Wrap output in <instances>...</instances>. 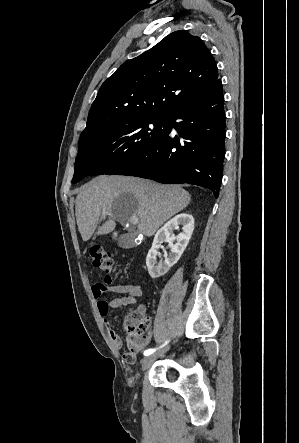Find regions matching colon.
I'll use <instances>...</instances> for the list:
<instances>
[{
  "label": "colon",
  "instance_id": "5ec220e1",
  "mask_svg": "<svg viewBox=\"0 0 299 443\" xmlns=\"http://www.w3.org/2000/svg\"><path fill=\"white\" fill-rule=\"evenodd\" d=\"M88 251L93 265L106 273V283L110 284L112 282L110 275L113 270V260L110 254L97 243L90 244ZM124 325L129 339L138 340L142 338L148 330L150 321L144 315L143 311L137 309L126 317Z\"/></svg>",
  "mask_w": 299,
  "mask_h": 443
}]
</instances>
